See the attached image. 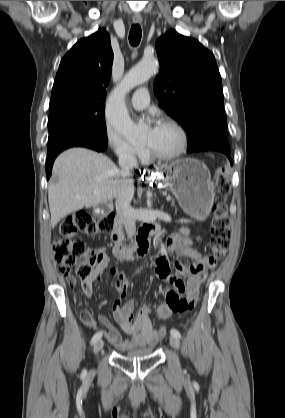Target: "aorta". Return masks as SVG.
<instances>
[{"instance_id":"762f6f07","label":"aorta","mask_w":285,"mask_h":418,"mask_svg":"<svg viewBox=\"0 0 285 418\" xmlns=\"http://www.w3.org/2000/svg\"><path fill=\"white\" fill-rule=\"evenodd\" d=\"M158 62L154 57H146L132 67L112 92L107 106L109 124L129 142L141 138L144 128L134 124L124 105V97L133 88L147 82L157 69Z\"/></svg>"}]
</instances>
